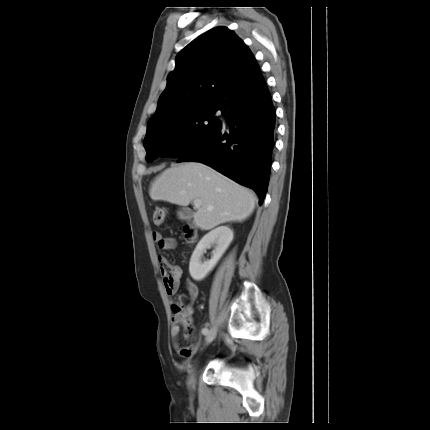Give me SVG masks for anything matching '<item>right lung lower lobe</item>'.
<instances>
[{"label": "right lung lower lobe", "mask_w": 430, "mask_h": 430, "mask_svg": "<svg viewBox=\"0 0 430 430\" xmlns=\"http://www.w3.org/2000/svg\"><path fill=\"white\" fill-rule=\"evenodd\" d=\"M220 110L228 124L177 162L198 161L253 189L262 204L275 145L276 111L264 78L236 92Z\"/></svg>", "instance_id": "right-lung-lower-lobe-1"}]
</instances>
